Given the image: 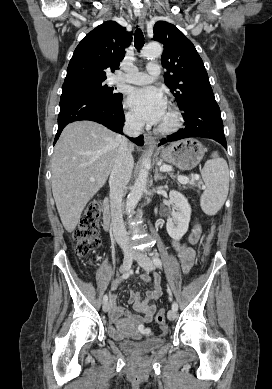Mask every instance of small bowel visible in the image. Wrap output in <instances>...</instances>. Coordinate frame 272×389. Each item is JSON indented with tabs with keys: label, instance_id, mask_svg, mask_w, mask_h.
<instances>
[{
	"label": "small bowel",
	"instance_id": "1",
	"mask_svg": "<svg viewBox=\"0 0 272 389\" xmlns=\"http://www.w3.org/2000/svg\"><path fill=\"white\" fill-rule=\"evenodd\" d=\"M200 234L201 227L198 223H195L188 236V243H181L179 241L173 242L184 273H188L194 263L195 252L190 245L195 244L198 241ZM140 278L144 282H150V276L148 274H142ZM117 287L118 282H115L111 289L114 291ZM161 295V279L158 274H154V284L152 288L146 292L145 299L142 300L140 298V294L136 291L130 292L129 302L132 304L133 309L137 313L141 314V316L132 315L125 308L118 306L116 304V296L111 294V318L113 321H119L123 316H125L127 321L136 328V331L130 334L134 339H139L142 336L150 335L151 329L149 324L152 322L153 315L156 311V306L151 302L157 300ZM111 330L116 332L113 328Z\"/></svg>",
	"mask_w": 272,
	"mask_h": 389
}]
</instances>
